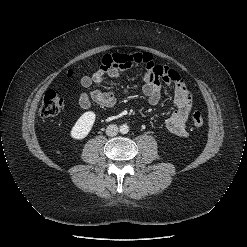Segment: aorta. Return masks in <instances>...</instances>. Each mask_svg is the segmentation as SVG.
<instances>
[{
	"label": "aorta",
	"mask_w": 247,
	"mask_h": 247,
	"mask_svg": "<svg viewBox=\"0 0 247 247\" xmlns=\"http://www.w3.org/2000/svg\"><path fill=\"white\" fill-rule=\"evenodd\" d=\"M120 132H121L122 134H127V133L129 132V127H128V125H126V124L121 125V126H120Z\"/></svg>",
	"instance_id": "1"
}]
</instances>
